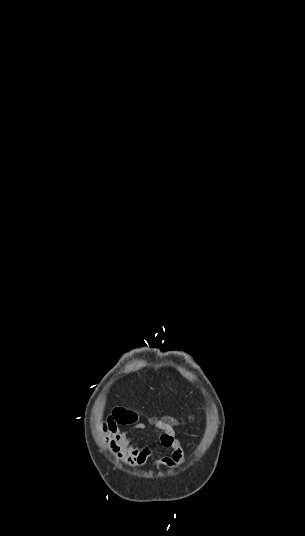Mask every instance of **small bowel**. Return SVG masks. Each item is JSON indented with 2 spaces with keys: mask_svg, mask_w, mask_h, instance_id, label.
<instances>
[{
  "mask_svg": "<svg viewBox=\"0 0 305 536\" xmlns=\"http://www.w3.org/2000/svg\"><path fill=\"white\" fill-rule=\"evenodd\" d=\"M107 418L109 419L103 422L104 426L98 427V430L104 431L102 439L105 446L128 466L143 467L151 456L152 449L149 446L134 444L133 437L147 427H130L124 431V435H120L121 430L117 427L115 420L110 418V415H107ZM150 428L159 433L160 445L170 452L169 456L157 459L154 463L155 466L174 469L182 464L185 458V449L176 437L173 427Z\"/></svg>",
  "mask_w": 305,
  "mask_h": 536,
  "instance_id": "small-bowel-1",
  "label": "small bowel"
}]
</instances>
